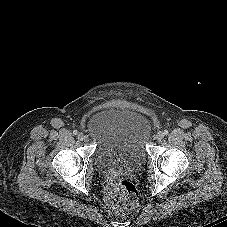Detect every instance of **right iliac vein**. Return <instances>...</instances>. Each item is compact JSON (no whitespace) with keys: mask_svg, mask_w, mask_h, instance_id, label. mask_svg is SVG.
I'll return each instance as SVG.
<instances>
[{"mask_svg":"<svg viewBox=\"0 0 227 227\" xmlns=\"http://www.w3.org/2000/svg\"><path fill=\"white\" fill-rule=\"evenodd\" d=\"M77 137L79 140H83L85 136L82 132H80V133H78Z\"/></svg>","mask_w":227,"mask_h":227,"instance_id":"obj_1","label":"right iliac vein"}]
</instances>
